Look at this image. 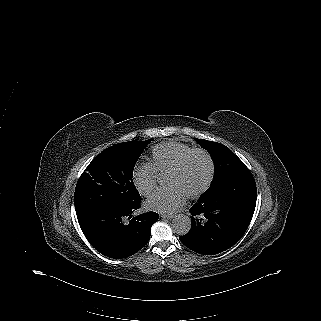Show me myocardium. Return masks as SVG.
Returning <instances> with one entry per match:
<instances>
[{
  "label": "myocardium",
  "instance_id": "f54148a6",
  "mask_svg": "<svg viewBox=\"0 0 321 321\" xmlns=\"http://www.w3.org/2000/svg\"><path fill=\"white\" fill-rule=\"evenodd\" d=\"M204 158L208 162V170L201 181L191 182L189 176L195 168L196 159ZM173 181L181 186L190 194H198L205 190L213 180L214 177V162L208 152L203 149H194L185 159V161L172 172Z\"/></svg>",
  "mask_w": 321,
  "mask_h": 321
}]
</instances>
